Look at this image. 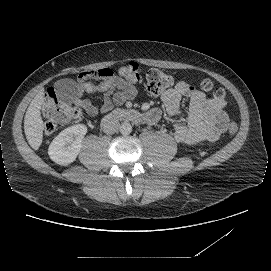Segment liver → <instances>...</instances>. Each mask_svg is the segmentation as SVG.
Masks as SVG:
<instances>
[{
    "label": "liver",
    "instance_id": "liver-1",
    "mask_svg": "<svg viewBox=\"0 0 271 271\" xmlns=\"http://www.w3.org/2000/svg\"><path fill=\"white\" fill-rule=\"evenodd\" d=\"M44 91L40 92L31 101L24 119L25 135L30 146L37 150L43 139L42 131L44 129L43 122L40 116V110L42 108Z\"/></svg>",
    "mask_w": 271,
    "mask_h": 271
}]
</instances>
